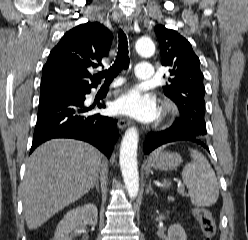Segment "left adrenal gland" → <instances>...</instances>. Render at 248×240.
Listing matches in <instances>:
<instances>
[{
	"label": "left adrenal gland",
	"instance_id": "obj_1",
	"mask_svg": "<svg viewBox=\"0 0 248 240\" xmlns=\"http://www.w3.org/2000/svg\"><path fill=\"white\" fill-rule=\"evenodd\" d=\"M148 193H152L157 197V194L153 191L152 187H151V182H149V184L146 187V194Z\"/></svg>",
	"mask_w": 248,
	"mask_h": 240
}]
</instances>
